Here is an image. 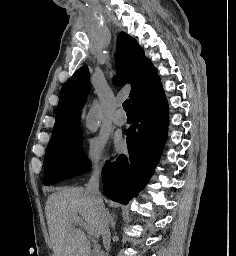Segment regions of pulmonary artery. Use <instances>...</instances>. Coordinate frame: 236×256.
Segmentation results:
<instances>
[{"label":"pulmonary artery","mask_w":236,"mask_h":256,"mask_svg":"<svg viewBox=\"0 0 236 256\" xmlns=\"http://www.w3.org/2000/svg\"><path fill=\"white\" fill-rule=\"evenodd\" d=\"M113 122L117 125V126H123L125 123H126V120H122V119H119L117 117H115L113 119Z\"/></svg>","instance_id":"e3ab8cb5"}]
</instances>
